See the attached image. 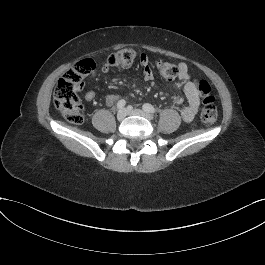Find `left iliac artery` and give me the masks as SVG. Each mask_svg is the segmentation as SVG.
Here are the masks:
<instances>
[{"label": "left iliac artery", "mask_w": 265, "mask_h": 265, "mask_svg": "<svg viewBox=\"0 0 265 265\" xmlns=\"http://www.w3.org/2000/svg\"><path fill=\"white\" fill-rule=\"evenodd\" d=\"M143 110L149 113H156L157 110L150 104H144L143 105Z\"/></svg>", "instance_id": "1"}]
</instances>
